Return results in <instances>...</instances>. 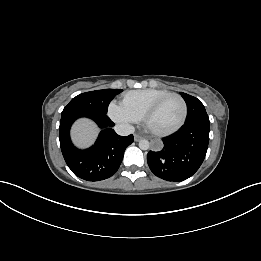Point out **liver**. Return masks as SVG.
Returning <instances> with one entry per match:
<instances>
[{"label":"liver","instance_id":"1","mask_svg":"<svg viewBox=\"0 0 261 261\" xmlns=\"http://www.w3.org/2000/svg\"><path fill=\"white\" fill-rule=\"evenodd\" d=\"M98 133L99 129L96 124L86 118L77 120L71 129L72 140L80 148L91 146L97 138Z\"/></svg>","mask_w":261,"mask_h":261}]
</instances>
